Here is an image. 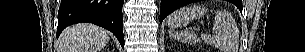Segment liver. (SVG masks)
I'll use <instances>...</instances> for the list:
<instances>
[{"label": "liver", "mask_w": 305, "mask_h": 52, "mask_svg": "<svg viewBox=\"0 0 305 52\" xmlns=\"http://www.w3.org/2000/svg\"><path fill=\"white\" fill-rule=\"evenodd\" d=\"M109 41L107 31L92 24H77L61 35L60 52H99Z\"/></svg>", "instance_id": "6515ba94"}]
</instances>
